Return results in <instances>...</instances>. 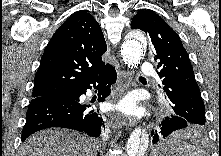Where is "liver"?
I'll return each instance as SVG.
<instances>
[{"label": "liver", "mask_w": 221, "mask_h": 156, "mask_svg": "<svg viewBox=\"0 0 221 156\" xmlns=\"http://www.w3.org/2000/svg\"><path fill=\"white\" fill-rule=\"evenodd\" d=\"M93 139L66 129H45L28 137L19 149L20 156H96Z\"/></svg>", "instance_id": "6515ba94"}]
</instances>
